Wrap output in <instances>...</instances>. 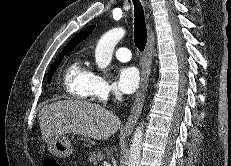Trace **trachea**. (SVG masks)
I'll return each instance as SVG.
<instances>
[{
	"instance_id": "1",
	"label": "trachea",
	"mask_w": 231,
	"mask_h": 166,
	"mask_svg": "<svg viewBox=\"0 0 231 166\" xmlns=\"http://www.w3.org/2000/svg\"><path fill=\"white\" fill-rule=\"evenodd\" d=\"M135 8L134 43L139 51H143L147 43V29L144 11L139 0H133Z\"/></svg>"
}]
</instances>
